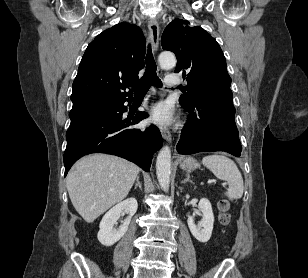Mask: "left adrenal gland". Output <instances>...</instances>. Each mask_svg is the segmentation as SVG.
I'll return each mask as SVG.
<instances>
[{
    "mask_svg": "<svg viewBox=\"0 0 308 278\" xmlns=\"http://www.w3.org/2000/svg\"><path fill=\"white\" fill-rule=\"evenodd\" d=\"M186 182L193 183V182L190 180V175H189V174H186V179H184V181H182L181 183H186Z\"/></svg>",
    "mask_w": 308,
    "mask_h": 278,
    "instance_id": "a2214340",
    "label": "left adrenal gland"
}]
</instances>
